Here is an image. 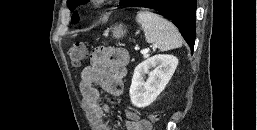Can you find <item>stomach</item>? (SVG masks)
Returning a JSON list of instances; mask_svg holds the SVG:
<instances>
[{
    "mask_svg": "<svg viewBox=\"0 0 257 130\" xmlns=\"http://www.w3.org/2000/svg\"><path fill=\"white\" fill-rule=\"evenodd\" d=\"M124 34H126V29H124L122 25L115 27L113 30V36L115 38H120L121 36H124Z\"/></svg>",
    "mask_w": 257,
    "mask_h": 130,
    "instance_id": "0dacf381",
    "label": "stomach"
}]
</instances>
